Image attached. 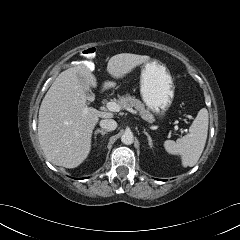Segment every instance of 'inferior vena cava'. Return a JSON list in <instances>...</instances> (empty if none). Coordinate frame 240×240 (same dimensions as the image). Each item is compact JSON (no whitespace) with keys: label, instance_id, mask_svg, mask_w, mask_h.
I'll return each mask as SVG.
<instances>
[{"label":"inferior vena cava","instance_id":"602c4592","mask_svg":"<svg viewBox=\"0 0 240 240\" xmlns=\"http://www.w3.org/2000/svg\"><path fill=\"white\" fill-rule=\"evenodd\" d=\"M100 127L106 131H113L117 128V122L113 119H103L100 121Z\"/></svg>","mask_w":240,"mask_h":240}]
</instances>
